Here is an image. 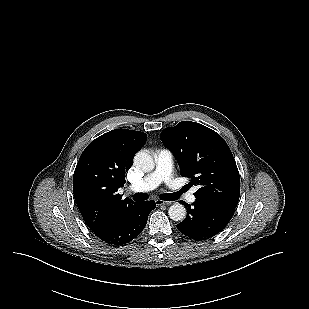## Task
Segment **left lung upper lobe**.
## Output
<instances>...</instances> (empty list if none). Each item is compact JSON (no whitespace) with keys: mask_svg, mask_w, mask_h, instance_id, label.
<instances>
[{"mask_svg":"<svg viewBox=\"0 0 309 309\" xmlns=\"http://www.w3.org/2000/svg\"><path fill=\"white\" fill-rule=\"evenodd\" d=\"M161 141L180 166L183 177L198 185L196 198L236 208L240 196V176L234 157L224 139L201 124L182 121L161 132Z\"/></svg>","mask_w":309,"mask_h":309,"instance_id":"obj_1","label":"left lung upper lobe"}]
</instances>
